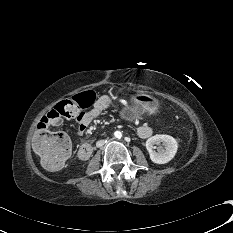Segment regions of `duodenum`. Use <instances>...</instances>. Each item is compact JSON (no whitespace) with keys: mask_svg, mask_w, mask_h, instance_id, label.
<instances>
[{"mask_svg":"<svg viewBox=\"0 0 233 233\" xmlns=\"http://www.w3.org/2000/svg\"><path fill=\"white\" fill-rule=\"evenodd\" d=\"M94 150L93 145L89 144V143H84L81 145V147L79 148V157L82 160H88L92 154Z\"/></svg>","mask_w":233,"mask_h":233,"instance_id":"410a0bca","label":"duodenum"}]
</instances>
